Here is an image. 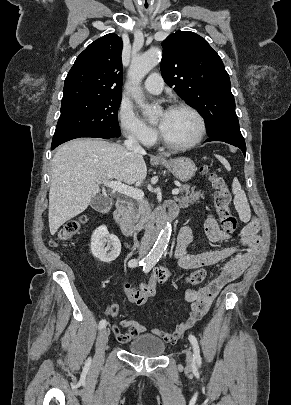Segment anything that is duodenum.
<instances>
[{"mask_svg":"<svg viewBox=\"0 0 291 405\" xmlns=\"http://www.w3.org/2000/svg\"><path fill=\"white\" fill-rule=\"evenodd\" d=\"M131 202L127 199H121L118 201L116 210L114 212V220L121 231V233L126 237H131L133 234L132 227L129 223V215L131 212ZM177 215V209L172 205H165L158 213L156 228L154 233L157 234L162 225L172 219Z\"/></svg>","mask_w":291,"mask_h":405,"instance_id":"1","label":"duodenum"}]
</instances>
